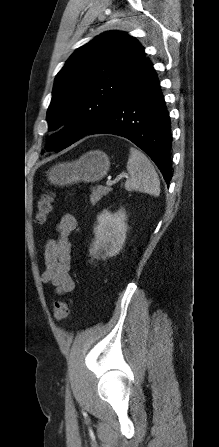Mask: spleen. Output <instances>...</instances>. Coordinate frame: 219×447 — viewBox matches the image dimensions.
<instances>
[{"instance_id": "3e777b00", "label": "spleen", "mask_w": 219, "mask_h": 447, "mask_svg": "<svg viewBox=\"0 0 219 447\" xmlns=\"http://www.w3.org/2000/svg\"><path fill=\"white\" fill-rule=\"evenodd\" d=\"M127 171L130 177L125 183L126 190L159 196L160 181L154 166L144 153L133 147L130 148Z\"/></svg>"}]
</instances>
